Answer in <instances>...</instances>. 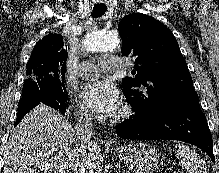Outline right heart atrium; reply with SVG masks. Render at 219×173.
Segmentation results:
<instances>
[{
	"instance_id": "obj_1",
	"label": "right heart atrium",
	"mask_w": 219,
	"mask_h": 173,
	"mask_svg": "<svg viewBox=\"0 0 219 173\" xmlns=\"http://www.w3.org/2000/svg\"><path fill=\"white\" fill-rule=\"evenodd\" d=\"M75 111H76L77 116L83 121H89L92 118L89 110L81 103L75 104Z\"/></svg>"
}]
</instances>
